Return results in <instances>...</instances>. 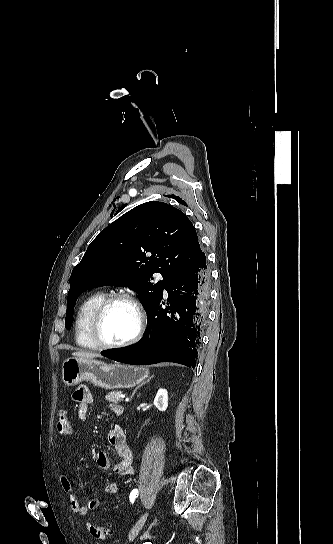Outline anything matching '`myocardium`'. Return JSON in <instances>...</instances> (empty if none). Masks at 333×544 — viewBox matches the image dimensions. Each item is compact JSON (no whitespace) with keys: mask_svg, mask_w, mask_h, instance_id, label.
<instances>
[{"mask_svg":"<svg viewBox=\"0 0 333 544\" xmlns=\"http://www.w3.org/2000/svg\"><path fill=\"white\" fill-rule=\"evenodd\" d=\"M127 302L135 310L137 315V327L135 332L128 339L119 342V343H108L105 342L100 334V326L103 319V316L106 310L115 302ZM146 327V314L141 305V303L132 295L127 293H115L109 296H106L94 309L90 321H89V336L93 343L102 349H119L130 346L136 343L142 336Z\"/></svg>","mask_w":333,"mask_h":544,"instance_id":"obj_1","label":"myocardium"}]
</instances>
